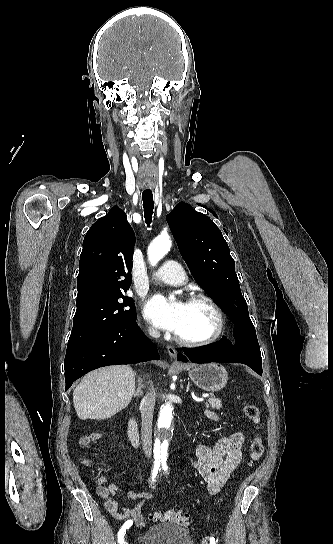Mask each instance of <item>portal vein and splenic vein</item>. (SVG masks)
<instances>
[{"label":"portal vein and splenic vein","instance_id":"obj_1","mask_svg":"<svg viewBox=\"0 0 333 544\" xmlns=\"http://www.w3.org/2000/svg\"><path fill=\"white\" fill-rule=\"evenodd\" d=\"M119 396L121 397L122 395L119 394ZM208 396H209L208 394H203V395H202L203 398H206V397H208Z\"/></svg>","mask_w":333,"mask_h":544}]
</instances>
